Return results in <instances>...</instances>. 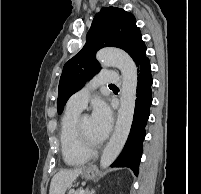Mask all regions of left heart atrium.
I'll use <instances>...</instances> for the list:
<instances>
[{
	"instance_id": "1",
	"label": "left heart atrium",
	"mask_w": 201,
	"mask_h": 194,
	"mask_svg": "<svg viewBox=\"0 0 201 194\" xmlns=\"http://www.w3.org/2000/svg\"><path fill=\"white\" fill-rule=\"evenodd\" d=\"M91 121L95 137L99 141L105 139L112 127V113L104 102L94 105Z\"/></svg>"
}]
</instances>
